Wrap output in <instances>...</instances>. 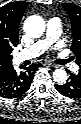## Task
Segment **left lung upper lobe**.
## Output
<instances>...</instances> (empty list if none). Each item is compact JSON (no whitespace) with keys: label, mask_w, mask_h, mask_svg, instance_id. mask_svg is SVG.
Masks as SVG:
<instances>
[{"label":"left lung upper lobe","mask_w":81,"mask_h":124,"mask_svg":"<svg viewBox=\"0 0 81 124\" xmlns=\"http://www.w3.org/2000/svg\"><path fill=\"white\" fill-rule=\"evenodd\" d=\"M72 25V51L77 64H81V7L72 3H62Z\"/></svg>","instance_id":"5c2ea615"}]
</instances>
